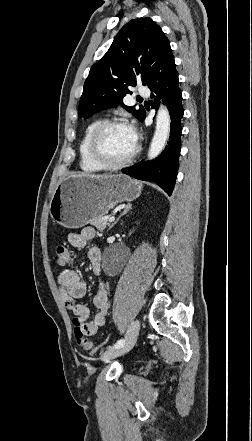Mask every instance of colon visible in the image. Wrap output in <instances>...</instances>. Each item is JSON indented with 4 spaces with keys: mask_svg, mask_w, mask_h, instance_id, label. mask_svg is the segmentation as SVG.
<instances>
[{
    "mask_svg": "<svg viewBox=\"0 0 252 441\" xmlns=\"http://www.w3.org/2000/svg\"><path fill=\"white\" fill-rule=\"evenodd\" d=\"M56 254V263L59 267H63L70 262L71 255L67 247L59 245L56 249ZM73 324L75 326L74 332L78 346L83 351H89L92 347V343L90 339L84 334L81 322L79 321V319L74 318Z\"/></svg>",
    "mask_w": 252,
    "mask_h": 441,
    "instance_id": "obj_1",
    "label": "colon"
}]
</instances>
